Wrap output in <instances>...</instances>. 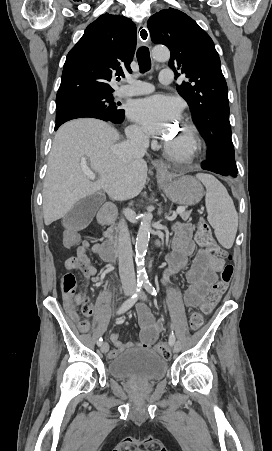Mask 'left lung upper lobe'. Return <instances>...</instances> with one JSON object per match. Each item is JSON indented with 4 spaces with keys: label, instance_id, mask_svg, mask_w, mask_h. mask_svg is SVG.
<instances>
[{
    "label": "left lung upper lobe",
    "instance_id": "left-lung-upper-lobe-1",
    "mask_svg": "<svg viewBox=\"0 0 272 451\" xmlns=\"http://www.w3.org/2000/svg\"><path fill=\"white\" fill-rule=\"evenodd\" d=\"M151 40L171 51L169 67L188 81L177 87L187 101L193 122L208 141L207 160L237 174L229 122L228 90L219 55L210 36L185 13L169 8L147 22Z\"/></svg>",
    "mask_w": 272,
    "mask_h": 451
}]
</instances>
